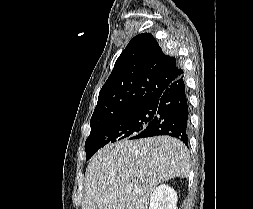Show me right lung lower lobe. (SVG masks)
Listing matches in <instances>:
<instances>
[{
    "label": "right lung lower lobe",
    "instance_id": "right-lung-lower-lobe-1",
    "mask_svg": "<svg viewBox=\"0 0 253 209\" xmlns=\"http://www.w3.org/2000/svg\"><path fill=\"white\" fill-rule=\"evenodd\" d=\"M149 105L155 116L134 139L168 135L187 145L189 109L183 76L173 81L162 95Z\"/></svg>",
    "mask_w": 253,
    "mask_h": 209
}]
</instances>
